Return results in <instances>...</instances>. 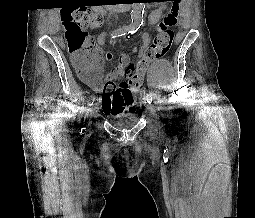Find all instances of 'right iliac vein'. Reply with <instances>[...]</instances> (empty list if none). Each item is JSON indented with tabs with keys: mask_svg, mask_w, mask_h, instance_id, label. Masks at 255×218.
<instances>
[{
	"mask_svg": "<svg viewBox=\"0 0 255 218\" xmlns=\"http://www.w3.org/2000/svg\"><path fill=\"white\" fill-rule=\"evenodd\" d=\"M94 110H95V107H94V104L92 103L91 105H90V117H92L93 115H94Z\"/></svg>",
	"mask_w": 255,
	"mask_h": 218,
	"instance_id": "obj_1",
	"label": "right iliac vein"
}]
</instances>
